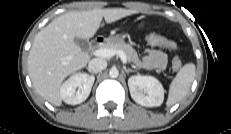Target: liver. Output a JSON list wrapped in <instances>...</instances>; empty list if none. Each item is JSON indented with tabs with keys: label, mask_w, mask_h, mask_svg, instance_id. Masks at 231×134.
I'll return each instance as SVG.
<instances>
[{
	"label": "liver",
	"mask_w": 231,
	"mask_h": 134,
	"mask_svg": "<svg viewBox=\"0 0 231 134\" xmlns=\"http://www.w3.org/2000/svg\"><path fill=\"white\" fill-rule=\"evenodd\" d=\"M137 13L124 8L67 12L35 36L28 56V71L36 92L55 106L62 104L60 87L70 74L87 65L90 58L75 43V38L90 39L106 23Z\"/></svg>",
	"instance_id": "1"
}]
</instances>
